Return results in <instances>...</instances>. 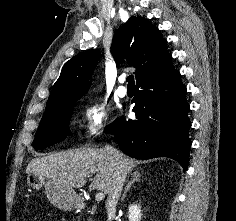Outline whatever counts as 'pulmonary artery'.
<instances>
[{
	"label": "pulmonary artery",
	"mask_w": 236,
	"mask_h": 221,
	"mask_svg": "<svg viewBox=\"0 0 236 221\" xmlns=\"http://www.w3.org/2000/svg\"><path fill=\"white\" fill-rule=\"evenodd\" d=\"M125 80H126L125 77H121L120 85L117 89V93L120 97H125L128 94L127 88L125 86H123V83L125 82Z\"/></svg>",
	"instance_id": "obj_1"
}]
</instances>
